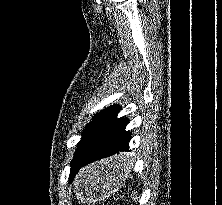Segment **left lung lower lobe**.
<instances>
[{
	"mask_svg": "<svg viewBox=\"0 0 222 205\" xmlns=\"http://www.w3.org/2000/svg\"><path fill=\"white\" fill-rule=\"evenodd\" d=\"M120 109L121 107L117 105L112 110L87 155L81 160L72 163L70 183L82 167L97 160L115 155L113 158H110L109 163L121 164L122 157H119V154L128 151L131 134L129 131H125L128 119L123 117L117 118Z\"/></svg>",
	"mask_w": 222,
	"mask_h": 205,
	"instance_id": "0a47b994",
	"label": "left lung lower lobe"
}]
</instances>
